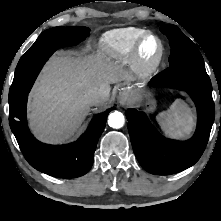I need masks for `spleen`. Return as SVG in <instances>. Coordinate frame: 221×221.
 Returning a JSON list of instances; mask_svg holds the SVG:
<instances>
[{"mask_svg": "<svg viewBox=\"0 0 221 221\" xmlns=\"http://www.w3.org/2000/svg\"><path fill=\"white\" fill-rule=\"evenodd\" d=\"M156 120L163 132L171 138L189 135L194 125V115L182 100H176L171 109L166 113H160Z\"/></svg>", "mask_w": 221, "mask_h": 221, "instance_id": "obj_1", "label": "spleen"}]
</instances>
